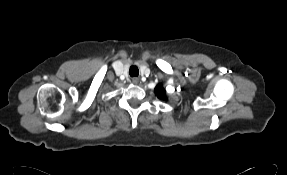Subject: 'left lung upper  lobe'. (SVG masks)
I'll return each mask as SVG.
<instances>
[{"mask_svg": "<svg viewBox=\"0 0 287 175\" xmlns=\"http://www.w3.org/2000/svg\"><path fill=\"white\" fill-rule=\"evenodd\" d=\"M155 91H156V95L158 96V98L163 99V100L166 99L165 90L163 89L161 84L156 86Z\"/></svg>", "mask_w": 287, "mask_h": 175, "instance_id": "left-lung-upper-lobe-1", "label": "left lung upper lobe"}]
</instances>
